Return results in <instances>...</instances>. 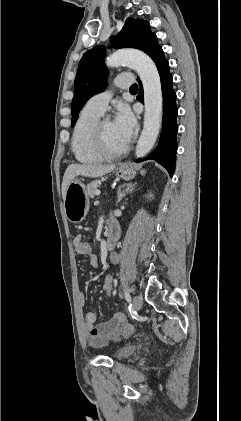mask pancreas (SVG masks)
I'll return each instance as SVG.
<instances>
[{
	"label": "pancreas",
	"instance_id": "cf45deb5",
	"mask_svg": "<svg viewBox=\"0 0 241 421\" xmlns=\"http://www.w3.org/2000/svg\"><path fill=\"white\" fill-rule=\"evenodd\" d=\"M99 186H100V181H98V180H95V181H92L91 183H89L87 185V195L90 198H94L95 192L98 190Z\"/></svg>",
	"mask_w": 241,
	"mask_h": 421
}]
</instances>
